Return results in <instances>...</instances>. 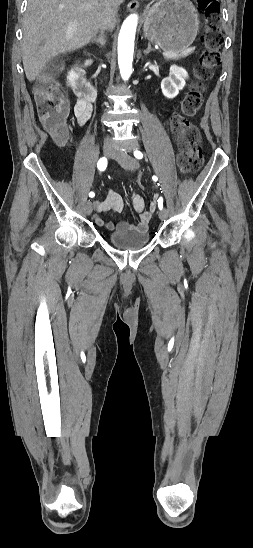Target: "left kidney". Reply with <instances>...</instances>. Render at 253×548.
<instances>
[{
    "mask_svg": "<svg viewBox=\"0 0 253 548\" xmlns=\"http://www.w3.org/2000/svg\"><path fill=\"white\" fill-rule=\"evenodd\" d=\"M186 78H188V73L184 68L172 65L169 76L161 81L163 95L169 99L175 98L179 91L184 88Z\"/></svg>",
    "mask_w": 253,
    "mask_h": 548,
    "instance_id": "1",
    "label": "left kidney"
}]
</instances>
